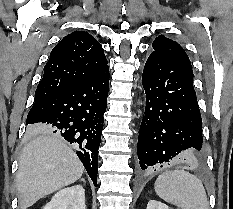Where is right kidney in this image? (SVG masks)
<instances>
[{
	"instance_id": "right-kidney-1",
	"label": "right kidney",
	"mask_w": 233,
	"mask_h": 209,
	"mask_svg": "<svg viewBox=\"0 0 233 209\" xmlns=\"http://www.w3.org/2000/svg\"><path fill=\"white\" fill-rule=\"evenodd\" d=\"M43 209H86L83 186L74 185L60 190Z\"/></svg>"
}]
</instances>
